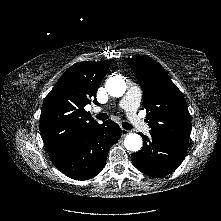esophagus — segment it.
<instances>
[{
  "label": "esophagus",
  "instance_id": "esophagus-1",
  "mask_svg": "<svg viewBox=\"0 0 221 221\" xmlns=\"http://www.w3.org/2000/svg\"><path fill=\"white\" fill-rule=\"evenodd\" d=\"M122 135L123 136H126L127 134H129L130 133V131L129 130H127V129H124V128H122Z\"/></svg>",
  "mask_w": 221,
  "mask_h": 221
}]
</instances>
